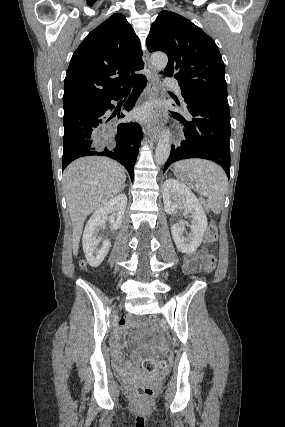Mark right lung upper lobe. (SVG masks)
Returning <instances> with one entry per match:
<instances>
[{
    "label": "right lung upper lobe",
    "instance_id": "1",
    "mask_svg": "<svg viewBox=\"0 0 285 427\" xmlns=\"http://www.w3.org/2000/svg\"><path fill=\"white\" fill-rule=\"evenodd\" d=\"M139 38L124 15L116 13L92 30L74 52L64 83V111L119 94L144 68Z\"/></svg>",
    "mask_w": 285,
    "mask_h": 427
}]
</instances>
